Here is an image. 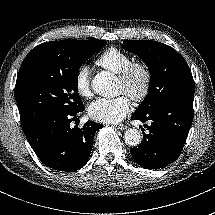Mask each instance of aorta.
Wrapping results in <instances>:
<instances>
[{"mask_svg": "<svg viewBox=\"0 0 215 215\" xmlns=\"http://www.w3.org/2000/svg\"><path fill=\"white\" fill-rule=\"evenodd\" d=\"M112 82L113 78L108 72H100L93 77L91 87L95 94L106 97L112 93ZM142 138L137 129H129L124 133V143L128 146H138Z\"/></svg>", "mask_w": 215, "mask_h": 215, "instance_id": "obj_1", "label": "aorta"}]
</instances>
